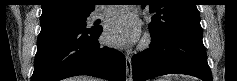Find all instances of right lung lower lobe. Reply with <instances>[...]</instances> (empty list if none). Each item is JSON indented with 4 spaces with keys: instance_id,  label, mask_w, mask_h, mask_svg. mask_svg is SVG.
<instances>
[{
    "instance_id": "obj_1",
    "label": "right lung lower lobe",
    "mask_w": 237,
    "mask_h": 81,
    "mask_svg": "<svg viewBox=\"0 0 237 81\" xmlns=\"http://www.w3.org/2000/svg\"><path fill=\"white\" fill-rule=\"evenodd\" d=\"M101 32V27L42 25L31 81H58L76 75L125 81V57L99 45Z\"/></svg>"
}]
</instances>
